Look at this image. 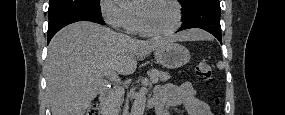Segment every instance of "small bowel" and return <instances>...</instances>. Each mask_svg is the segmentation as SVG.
<instances>
[{
  "label": "small bowel",
  "instance_id": "obj_1",
  "mask_svg": "<svg viewBox=\"0 0 285 115\" xmlns=\"http://www.w3.org/2000/svg\"><path fill=\"white\" fill-rule=\"evenodd\" d=\"M157 115H171V110L180 106L186 115H212L210 107L197 96L190 82L181 85L166 84L155 93Z\"/></svg>",
  "mask_w": 285,
  "mask_h": 115
}]
</instances>
